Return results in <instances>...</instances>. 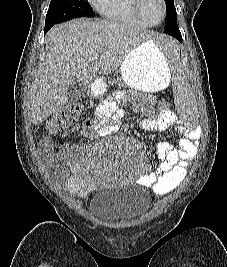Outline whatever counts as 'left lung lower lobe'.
I'll list each match as a JSON object with an SVG mask.
<instances>
[{
  "label": "left lung lower lobe",
  "instance_id": "1",
  "mask_svg": "<svg viewBox=\"0 0 227 267\" xmlns=\"http://www.w3.org/2000/svg\"><path fill=\"white\" fill-rule=\"evenodd\" d=\"M164 31L182 42V36L177 25V18L166 24Z\"/></svg>",
  "mask_w": 227,
  "mask_h": 267
}]
</instances>
